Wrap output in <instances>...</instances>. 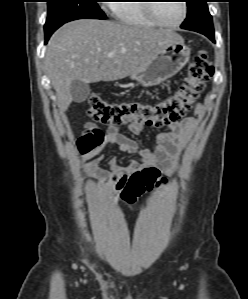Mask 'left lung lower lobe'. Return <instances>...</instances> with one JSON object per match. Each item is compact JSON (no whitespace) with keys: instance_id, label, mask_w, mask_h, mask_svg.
Returning a JSON list of instances; mask_svg holds the SVG:
<instances>
[{"instance_id":"left-lung-lower-lobe-1","label":"left lung lower lobe","mask_w":248,"mask_h":299,"mask_svg":"<svg viewBox=\"0 0 248 299\" xmlns=\"http://www.w3.org/2000/svg\"><path fill=\"white\" fill-rule=\"evenodd\" d=\"M201 34H204L205 36H207L209 39H211L213 42L215 41V38H214V32H210L208 30H200Z\"/></svg>"}]
</instances>
